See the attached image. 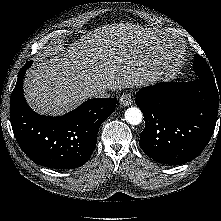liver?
Here are the masks:
<instances>
[{
    "instance_id": "1",
    "label": "liver",
    "mask_w": 221,
    "mask_h": 221,
    "mask_svg": "<svg viewBox=\"0 0 221 221\" xmlns=\"http://www.w3.org/2000/svg\"><path fill=\"white\" fill-rule=\"evenodd\" d=\"M174 55L162 50L149 29L103 26L65 50L42 55L24 80L25 98L39 114L61 115L96 88L115 91L156 81L171 68Z\"/></svg>"
}]
</instances>
